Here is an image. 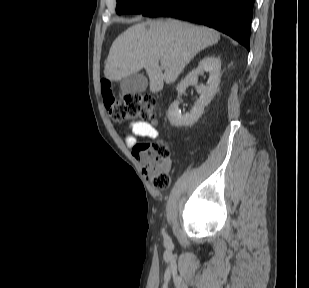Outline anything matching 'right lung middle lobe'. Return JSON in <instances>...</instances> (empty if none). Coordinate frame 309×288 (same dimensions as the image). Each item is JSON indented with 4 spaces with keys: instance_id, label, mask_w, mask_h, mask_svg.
Returning a JSON list of instances; mask_svg holds the SVG:
<instances>
[{
    "instance_id": "right-lung-middle-lobe-1",
    "label": "right lung middle lobe",
    "mask_w": 309,
    "mask_h": 288,
    "mask_svg": "<svg viewBox=\"0 0 309 288\" xmlns=\"http://www.w3.org/2000/svg\"><path fill=\"white\" fill-rule=\"evenodd\" d=\"M162 0H117V14H141Z\"/></svg>"
}]
</instances>
